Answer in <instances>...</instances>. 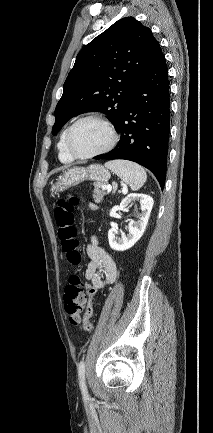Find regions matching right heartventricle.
<instances>
[{
	"label": "right heart ventricle",
	"instance_id": "e07e8e85",
	"mask_svg": "<svg viewBox=\"0 0 213 433\" xmlns=\"http://www.w3.org/2000/svg\"><path fill=\"white\" fill-rule=\"evenodd\" d=\"M69 127H66L62 133L60 134L58 143H57V149H58V158L61 162L69 163L74 160V158L69 154L66 148V133Z\"/></svg>",
	"mask_w": 213,
	"mask_h": 433
}]
</instances>
